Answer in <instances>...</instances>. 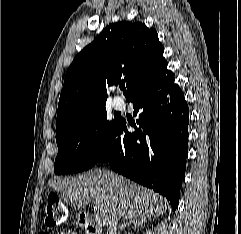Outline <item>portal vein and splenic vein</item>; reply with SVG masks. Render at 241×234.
Instances as JSON below:
<instances>
[{
	"label": "portal vein and splenic vein",
	"instance_id": "1",
	"mask_svg": "<svg viewBox=\"0 0 241 234\" xmlns=\"http://www.w3.org/2000/svg\"><path fill=\"white\" fill-rule=\"evenodd\" d=\"M94 209L99 211L100 206H99V205H95ZM95 220H96L98 223H102V222H103L102 216H101V214H100L99 212L96 213V215H95Z\"/></svg>",
	"mask_w": 241,
	"mask_h": 234
}]
</instances>
